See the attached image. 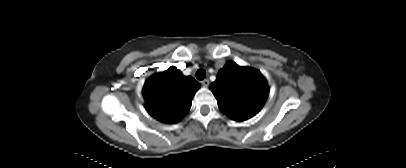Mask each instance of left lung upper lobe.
<instances>
[{
	"instance_id": "5c2ea615",
	"label": "left lung upper lobe",
	"mask_w": 406,
	"mask_h": 168,
	"mask_svg": "<svg viewBox=\"0 0 406 168\" xmlns=\"http://www.w3.org/2000/svg\"><path fill=\"white\" fill-rule=\"evenodd\" d=\"M210 90L221 112L236 121L247 120L257 114L269 94L266 79L258 70L232 61L218 72Z\"/></svg>"
}]
</instances>
